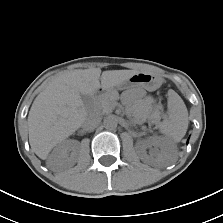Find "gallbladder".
I'll return each instance as SVG.
<instances>
[{"label":"gallbladder","mask_w":223,"mask_h":223,"mask_svg":"<svg viewBox=\"0 0 223 223\" xmlns=\"http://www.w3.org/2000/svg\"><path fill=\"white\" fill-rule=\"evenodd\" d=\"M81 98H82V100L86 103L87 101H89V96H87V95H83V94H81Z\"/></svg>","instance_id":"obj_1"}]
</instances>
